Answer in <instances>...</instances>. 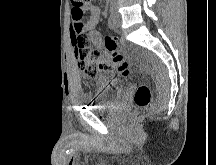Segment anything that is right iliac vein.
Returning <instances> with one entry per match:
<instances>
[{
  "label": "right iliac vein",
  "mask_w": 216,
  "mask_h": 165,
  "mask_svg": "<svg viewBox=\"0 0 216 165\" xmlns=\"http://www.w3.org/2000/svg\"><path fill=\"white\" fill-rule=\"evenodd\" d=\"M112 17H113L115 23H118V22L120 21V17H119V15L115 12V9H114V8L112 9Z\"/></svg>",
  "instance_id": "1"
}]
</instances>
